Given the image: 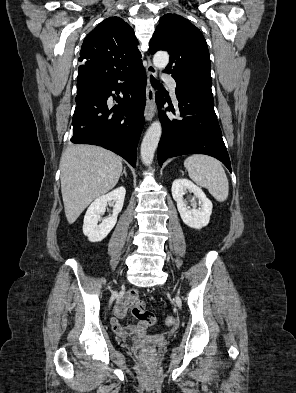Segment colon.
Returning a JSON list of instances; mask_svg holds the SVG:
<instances>
[{
    "instance_id": "5ec220e1",
    "label": "colon",
    "mask_w": 296,
    "mask_h": 393,
    "mask_svg": "<svg viewBox=\"0 0 296 393\" xmlns=\"http://www.w3.org/2000/svg\"><path fill=\"white\" fill-rule=\"evenodd\" d=\"M126 307L130 308L133 315L141 322H144L149 326H152L156 323L155 314L145 308L142 300H130L126 302ZM165 323L168 327H172L175 325V320L169 317L166 319ZM140 355L144 360H151L155 355V349L153 347H145L141 350Z\"/></svg>"
}]
</instances>
